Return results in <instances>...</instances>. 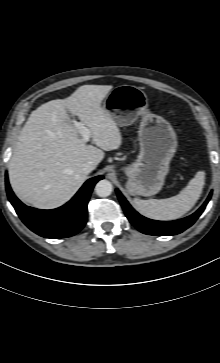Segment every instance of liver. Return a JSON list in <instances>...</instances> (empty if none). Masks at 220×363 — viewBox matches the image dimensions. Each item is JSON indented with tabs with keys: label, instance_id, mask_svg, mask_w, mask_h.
<instances>
[{
	"label": "liver",
	"instance_id": "liver-1",
	"mask_svg": "<svg viewBox=\"0 0 220 363\" xmlns=\"http://www.w3.org/2000/svg\"><path fill=\"white\" fill-rule=\"evenodd\" d=\"M111 85H83L65 99L32 111L9 161L14 193L36 208L53 209L70 200L86 180L82 166L103 160L104 151L118 149L122 135L102 101ZM77 116L90 130L87 145L70 120Z\"/></svg>",
	"mask_w": 220,
	"mask_h": 363
}]
</instances>
